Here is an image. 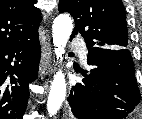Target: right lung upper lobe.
<instances>
[{
    "label": "right lung upper lobe",
    "mask_w": 142,
    "mask_h": 119,
    "mask_svg": "<svg viewBox=\"0 0 142 119\" xmlns=\"http://www.w3.org/2000/svg\"><path fill=\"white\" fill-rule=\"evenodd\" d=\"M36 0H0V49L19 44L38 32L41 12Z\"/></svg>",
    "instance_id": "1"
}]
</instances>
